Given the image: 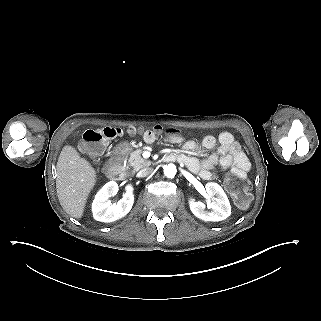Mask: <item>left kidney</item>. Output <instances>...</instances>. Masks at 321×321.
I'll list each match as a JSON object with an SVG mask.
<instances>
[{
  "label": "left kidney",
  "mask_w": 321,
  "mask_h": 321,
  "mask_svg": "<svg viewBox=\"0 0 321 321\" xmlns=\"http://www.w3.org/2000/svg\"><path fill=\"white\" fill-rule=\"evenodd\" d=\"M206 191L209 196L213 197V201L209 203L210 212L205 210V204L196 202L194 198L188 197V205L191 212L203 221H222L231 215V206L227 195L220 185L217 183H207Z\"/></svg>",
  "instance_id": "1"
}]
</instances>
